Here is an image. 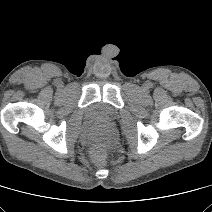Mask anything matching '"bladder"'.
<instances>
[{
    "instance_id": "1",
    "label": "bladder",
    "mask_w": 212,
    "mask_h": 212,
    "mask_svg": "<svg viewBox=\"0 0 212 212\" xmlns=\"http://www.w3.org/2000/svg\"><path fill=\"white\" fill-rule=\"evenodd\" d=\"M87 118L96 122H111L116 118V112L107 104L98 102L88 108Z\"/></svg>"
}]
</instances>
